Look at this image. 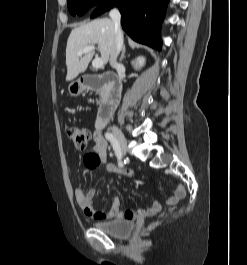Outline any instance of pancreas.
<instances>
[{
    "instance_id": "1",
    "label": "pancreas",
    "mask_w": 247,
    "mask_h": 265,
    "mask_svg": "<svg viewBox=\"0 0 247 265\" xmlns=\"http://www.w3.org/2000/svg\"><path fill=\"white\" fill-rule=\"evenodd\" d=\"M101 102H102V96H101V99L100 100H97V104H99Z\"/></svg>"
}]
</instances>
